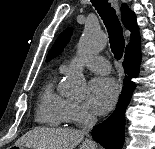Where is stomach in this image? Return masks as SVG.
Segmentation results:
<instances>
[{
  "label": "stomach",
  "instance_id": "stomach-1",
  "mask_svg": "<svg viewBox=\"0 0 155 149\" xmlns=\"http://www.w3.org/2000/svg\"><path fill=\"white\" fill-rule=\"evenodd\" d=\"M17 148H19V149H25L24 147H17Z\"/></svg>",
  "mask_w": 155,
  "mask_h": 149
}]
</instances>
